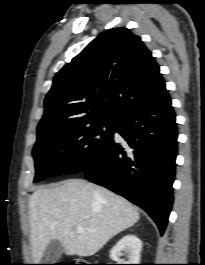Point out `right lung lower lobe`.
Listing matches in <instances>:
<instances>
[{
	"label": "right lung lower lobe",
	"instance_id": "obj_1",
	"mask_svg": "<svg viewBox=\"0 0 205 265\" xmlns=\"http://www.w3.org/2000/svg\"><path fill=\"white\" fill-rule=\"evenodd\" d=\"M114 137L83 170L86 178L145 210L163 234L173 202L177 127L165 89L153 102L115 122Z\"/></svg>",
	"mask_w": 205,
	"mask_h": 265
}]
</instances>
